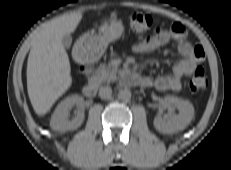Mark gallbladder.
Masks as SVG:
<instances>
[{
    "mask_svg": "<svg viewBox=\"0 0 231 170\" xmlns=\"http://www.w3.org/2000/svg\"><path fill=\"white\" fill-rule=\"evenodd\" d=\"M62 44L64 48L69 49L72 44V37L69 34H66L62 38Z\"/></svg>",
    "mask_w": 231,
    "mask_h": 170,
    "instance_id": "1",
    "label": "gallbladder"
}]
</instances>
